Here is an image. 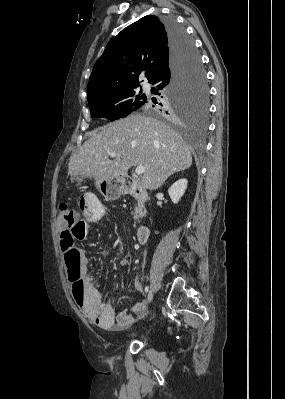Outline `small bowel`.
<instances>
[{"mask_svg": "<svg viewBox=\"0 0 285 399\" xmlns=\"http://www.w3.org/2000/svg\"><path fill=\"white\" fill-rule=\"evenodd\" d=\"M85 198L86 202L79 218L82 237L88 235L89 225L100 221L104 214L103 204L94 195H85ZM126 263L127 259H122L120 262L121 265H125ZM66 266L69 272L73 269L72 265L67 261ZM78 270L84 283V292L76 297L75 289L71 286L70 293L75 303L94 324L103 329L120 331L131 326L136 320L147 316L144 301L134 303L130 312L122 310L116 314L112 306L102 299L100 292L88 277V259L83 253L79 255ZM134 286L138 291H142V285L138 278L134 279Z\"/></svg>", "mask_w": 285, "mask_h": 399, "instance_id": "obj_1", "label": "small bowel"}]
</instances>
